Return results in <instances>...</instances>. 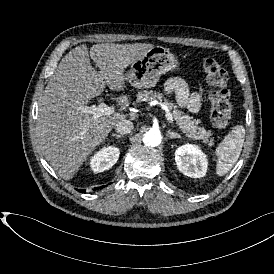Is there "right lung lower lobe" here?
<instances>
[{"mask_svg":"<svg viewBox=\"0 0 274 274\" xmlns=\"http://www.w3.org/2000/svg\"><path fill=\"white\" fill-rule=\"evenodd\" d=\"M99 189V188H95L94 190ZM79 192L85 193V190H78Z\"/></svg>","mask_w":274,"mask_h":274,"instance_id":"right-lung-lower-lobe-1","label":"right lung lower lobe"}]
</instances>
